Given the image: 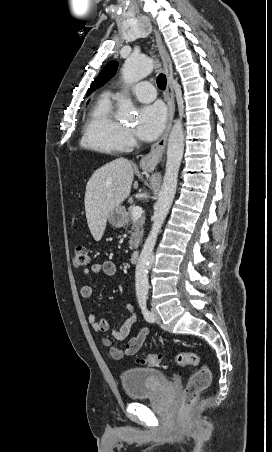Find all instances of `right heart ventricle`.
<instances>
[{
	"label": "right heart ventricle",
	"instance_id": "right-heart-ventricle-1",
	"mask_svg": "<svg viewBox=\"0 0 272 452\" xmlns=\"http://www.w3.org/2000/svg\"><path fill=\"white\" fill-rule=\"evenodd\" d=\"M113 97L104 93L91 108L83 126L81 146L107 154L125 150L122 125L112 115Z\"/></svg>",
	"mask_w": 272,
	"mask_h": 452
}]
</instances>
